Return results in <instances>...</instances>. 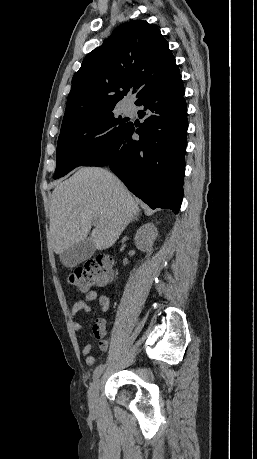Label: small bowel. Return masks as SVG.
Returning a JSON list of instances; mask_svg holds the SVG:
<instances>
[{
    "instance_id": "c3829d8e",
    "label": "small bowel",
    "mask_w": 257,
    "mask_h": 459,
    "mask_svg": "<svg viewBox=\"0 0 257 459\" xmlns=\"http://www.w3.org/2000/svg\"><path fill=\"white\" fill-rule=\"evenodd\" d=\"M98 300L100 311L105 313L109 310L110 300L106 295H98L95 290H88L85 292L83 299L77 300L71 309V315L77 317L81 314H88L90 312V303ZM75 331H81L83 324L79 320H75L72 324ZM92 332L95 339L98 341L99 347L102 351L106 352L109 349V341L107 338V330L105 320L98 318L95 320ZM82 355L85 358V363L89 367H93L95 364V357L92 354V344H86L82 348Z\"/></svg>"
}]
</instances>
